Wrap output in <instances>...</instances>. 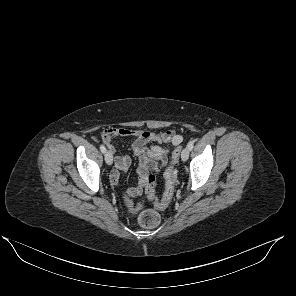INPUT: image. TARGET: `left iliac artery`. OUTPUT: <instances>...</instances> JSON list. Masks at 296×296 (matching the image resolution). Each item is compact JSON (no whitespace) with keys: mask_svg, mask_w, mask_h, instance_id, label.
I'll return each instance as SVG.
<instances>
[{"mask_svg":"<svg viewBox=\"0 0 296 296\" xmlns=\"http://www.w3.org/2000/svg\"><path fill=\"white\" fill-rule=\"evenodd\" d=\"M188 149L189 150H192L193 147H194V143L193 142H189L188 145H187Z\"/></svg>","mask_w":296,"mask_h":296,"instance_id":"44dca946","label":"left iliac artery"}]
</instances>
